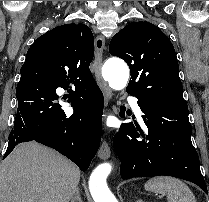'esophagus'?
<instances>
[{"instance_id": "obj_1", "label": "esophagus", "mask_w": 209, "mask_h": 202, "mask_svg": "<svg viewBox=\"0 0 209 202\" xmlns=\"http://www.w3.org/2000/svg\"><path fill=\"white\" fill-rule=\"evenodd\" d=\"M105 50V39L99 35L95 39V56H94V69L97 82L105 94L107 102L112 98V91L108 87L107 83L103 80L101 75L103 52ZM111 151L108 143L103 141L98 151L99 158L106 160L110 157Z\"/></svg>"}]
</instances>
